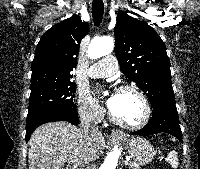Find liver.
<instances>
[{
  "label": "liver",
  "mask_w": 200,
  "mask_h": 169,
  "mask_svg": "<svg viewBox=\"0 0 200 169\" xmlns=\"http://www.w3.org/2000/svg\"><path fill=\"white\" fill-rule=\"evenodd\" d=\"M29 145V169H63L65 162L82 165L98 159L105 139L100 131L84 134L81 128L59 121L39 126Z\"/></svg>",
  "instance_id": "liver-1"
}]
</instances>
